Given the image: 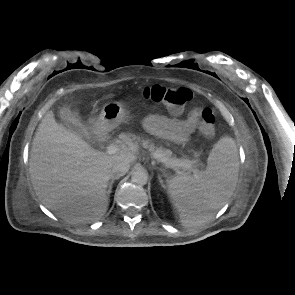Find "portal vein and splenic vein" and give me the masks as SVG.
<instances>
[{"label":"portal vein and splenic vein","mask_w":295,"mask_h":295,"mask_svg":"<svg viewBox=\"0 0 295 295\" xmlns=\"http://www.w3.org/2000/svg\"><path fill=\"white\" fill-rule=\"evenodd\" d=\"M117 151H118V146L114 144H111L107 147L108 154L112 155V154H115ZM153 156L154 158H156L157 160H159L160 162H162L164 165H166L169 168H173V167L189 168L193 164L192 161H186V160H180V159L172 160L156 153H154ZM195 174H197L196 170H195Z\"/></svg>","instance_id":"18ae733b"}]
</instances>
